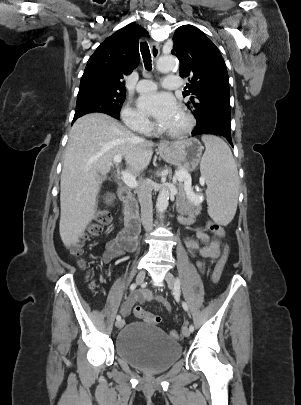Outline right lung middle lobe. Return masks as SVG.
<instances>
[{"label": "right lung middle lobe", "mask_w": 301, "mask_h": 405, "mask_svg": "<svg viewBox=\"0 0 301 405\" xmlns=\"http://www.w3.org/2000/svg\"><path fill=\"white\" fill-rule=\"evenodd\" d=\"M125 92L88 91L78 93L74 121L82 115L100 112L119 119Z\"/></svg>", "instance_id": "dd1d6c3e"}]
</instances>
